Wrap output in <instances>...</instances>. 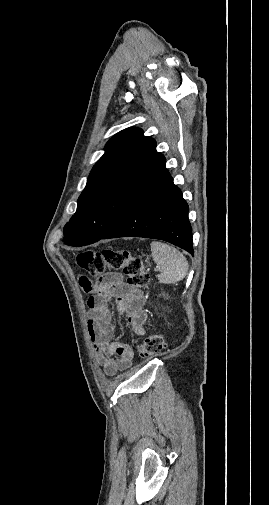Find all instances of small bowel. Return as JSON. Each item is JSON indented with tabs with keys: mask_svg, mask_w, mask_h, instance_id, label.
<instances>
[{
	"mask_svg": "<svg viewBox=\"0 0 269 505\" xmlns=\"http://www.w3.org/2000/svg\"><path fill=\"white\" fill-rule=\"evenodd\" d=\"M79 288L85 294H91L88 299L87 330L94 344L96 360L108 376L129 369L132 365L133 353L126 342L113 341L114 327L112 324L109 303L115 300L118 311L125 314L133 333L137 336L145 334L143 295L130 288L119 273L110 272L104 275L102 281H91L89 273L81 275Z\"/></svg>",
	"mask_w": 269,
	"mask_h": 505,
	"instance_id": "c3829d8e",
	"label": "small bowel"
}]
</instances>
